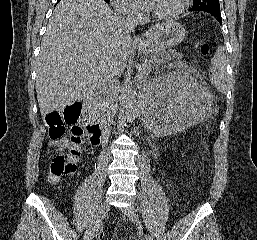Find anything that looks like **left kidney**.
<instances>
[{
    "label": "left kidney",
    "instance_id": "obj_1",
    "mask_svg": "<svg viewBox=\"0 0 257 240\" xmlns=\"http://www.w3.org/2000/svg\"><path fill=\"white\" fill-rule=\"evenodd\" d=\"M143 98L147 125L160 136L182 132L206 117L207 95L187 73L172 72L153 79Z\"/></svg>",
    "mask_w": 257,
    "mask_h": 240
}]
</instances>
